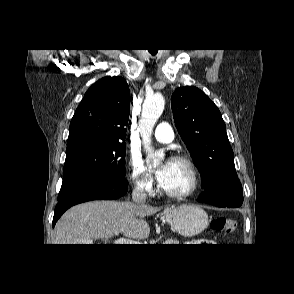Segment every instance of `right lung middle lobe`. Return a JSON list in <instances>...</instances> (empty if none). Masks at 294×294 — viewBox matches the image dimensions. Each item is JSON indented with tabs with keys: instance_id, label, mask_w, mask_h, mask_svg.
Returning <instances> with one entry per match:
<instances>
[{
	"instance_id": "obj_1",
	"label": "right lung middle lobe",
	"mask_w": 294,
	"mask_h": 294,
	"mask_svg": "<svg viewBox=\"0 0 294 294\" xmlns=\"http://www.w3.org/2000/svg\"><path fill=\"white\" fill-rule=\"evenodd\" d=\"M125 144L84 140L67 144L62 185L81 177L124 180Z\"/></svg>"
}]
</instances>
